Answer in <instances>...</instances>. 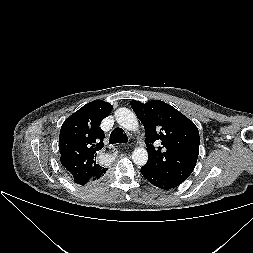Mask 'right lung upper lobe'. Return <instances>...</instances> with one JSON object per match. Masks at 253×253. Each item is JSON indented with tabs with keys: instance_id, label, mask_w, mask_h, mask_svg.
Instances as JSON below:
<instances>
[{
	"instance_id": "1",
	"label": "right lung upper lobe",
	"mask_w": 253,
	"mask_h": 253,
	"mask_svg": "<svg viewBox=\"0 0 253 253\" xmlns=\"http://www.w3.org/2000/svg\"><path fill=\"white\" fill-rule=\"evenodd\" d=\"M112 108L108 102L94 100L62 124L59 136L60 161L76 184L84 186L97 181L107 171L96 162V156L104 146L105 137L99 125Z\"/></svg>"
}]
</instances>
